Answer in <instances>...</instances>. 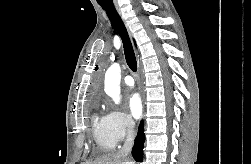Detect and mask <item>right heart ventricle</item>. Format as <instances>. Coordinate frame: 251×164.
Here are the masks:
<instances>
[{
    "label": "right heart ventricle",
    "instance_id": "1",
    "mask_svg": "<svg viewBox=\"0 0 251 164\" xmlns=\"http://www.w3.org/2000/svg\"><path fill=\"white\" fill-rule=\"evenodd\" d=\"M92 131L97 147L102 152H109L115 148L116 140L112 136L104 117L97 114L92 117Z\"/></svg>",
    "mask_w": 251,
    "mask_h": 164
}]
</instances>
